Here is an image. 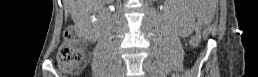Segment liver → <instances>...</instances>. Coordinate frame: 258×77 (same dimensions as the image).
I'll use <instances>...</instances> for the list:
<instances>
[{
  "mask_svg": "<svg viewBox=\"0 0 258 77\" xmlns=\"http://www.w3.org/2000/svg\"><path fill=\"white\" fill-rule=\"evenodd\" d=\"M102 1L101 0H63L64 3V8H65V12L68 13L71 9V16L73 18V20L76 19L77 15V10L80 7H85L87 5L90 4H100Z\"/></svg>",
  "mask_w": 258,
  "mask_h": 77,
  "instance_id": "obj_1",
  "label": "liver"
}]
</instances>
